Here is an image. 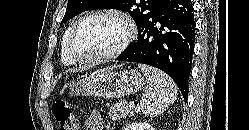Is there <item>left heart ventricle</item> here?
Masks as SVG:
<instances>
[{"label":"left heart ventricle","mask_w":249,"mask_h":130,"mask_svg":"<svg viewBox=\"0 0 249 130\" xmlns=\"http://www.w3.org/2000/svg\"><path fill=\"white\" fill-rule=\"evenodd\" d=\"M126 35L125 24L116 18L92 17L80 24L73 43V52L81 57H91L114 50Z\"/></svg>","instance_id":"left-heart-ventricle-1"}]
</instances>
